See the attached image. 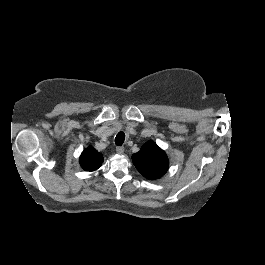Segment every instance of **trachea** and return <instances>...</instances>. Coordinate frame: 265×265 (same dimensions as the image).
I'll return each mask as SVG.
<instances>
[{
    "label": "trachea",
    "instance_id": "obj_1",
    "mask_svg": "<svg viewBox=\"0 0 265 265\" xmlns=\"http://www.w3.org/2000/svg\"><path fill=\"white\" fill-rule=\"evenodd\" d=\"M124 140H125V134H124V132L121 131L115 137V144L117 146H120V145H122L124 143Z\"/></svg>",
    "mask_w": 265,
    "mask_h": 265
}]
</instances>
